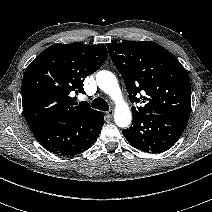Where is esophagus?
<instances>
[{
  "label": "esophagus",
  "instance_id": "obj_1",
  "mask_svg": "<svg viewBox=\"0 0 212 212\" xmlns=\"http://www.w3.org/2000/svg\"><path fill=\"white\" fill-rule=\"evenodd\" d=\"M113 114H114L113 110H109V111L106 112V115L109 118H112L113 117Z\"/></svg>",
  "mask_w": 212,
  "mask_h": 212
}]
</instances>
